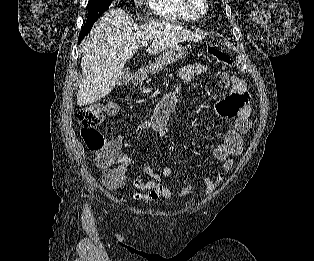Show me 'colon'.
I'll return each instance as SVG.
<instances>
[{
	"mask_svg": "<svg viewBox=\"0 0 314 261\" xmlns=\"http://www.w3.org/2000/svg\"><path fill=\"white\" fill-rule=\"evenodd\" d=\"M208 55L218 64L228 67L229 56L217 47L210 46L207 49ZM115 105L91 104L79 108L77 120L81 127L82 139L89 151L96 155V164L99 168L105 169L103 181L107 186L118 187L124 180V175L115 170H107L109 163L117 151L115 139H108L99 129L105 112H113Z\"/></svg>",
	"mask_w": 314,
	"mask_h": 261,
	"instance_id": "obj_1",
	"label": "colon"
}]
</instances>
